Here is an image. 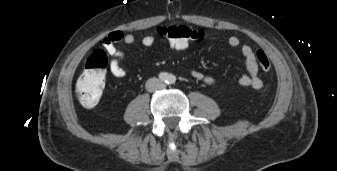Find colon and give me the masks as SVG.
Wrapping results in <instances>:
<instances>
[{"mask_svg":"<svg viewBox=\"0 0 337 171\" xmlns=\"http://www.w3.org/2000/svg\"><path fill=\"white\" fill-rule=\"evenodd\" d=\"M157 33L168 40L173 50H180L203 35L200 30L182 25L159 27ZM256 59L262 71L270 70L271 63L264 51H257ZM107 63V56L101 50L93 51L88 57L75 87L78 100L84 107H92L100 100L105 87Z\"/></svg>","mask_w":337,"mask_h":171,"instance_id":"1","label":"colon"}]
</instances>
